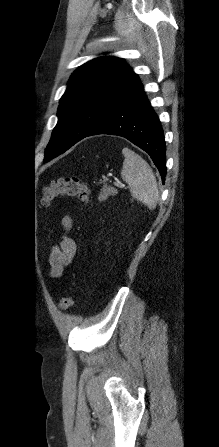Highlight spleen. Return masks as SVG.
<instances>
[{"mask_svg":"<svg viewBox=\"0 0 219 447\" xmlns=\"http://www.w3.org/2000/svg\"><path fill=\"white\" fill-rule=\"evenodd\" d=\"M124 156L121 177L129 185L131 195L145 204L150 210L154 209L159 199L156 178L148 163L134 151L123 148Z\"/></svg>","mask_w":219,"mask_h":447,"instance_id":"obj_1","label":"spleen"}]
</instances>
